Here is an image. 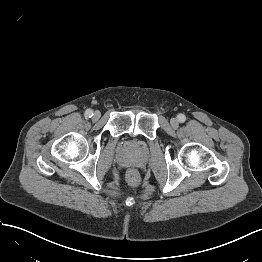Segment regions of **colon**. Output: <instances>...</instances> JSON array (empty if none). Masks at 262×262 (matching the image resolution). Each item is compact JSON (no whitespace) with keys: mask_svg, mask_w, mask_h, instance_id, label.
I'll list each match as a JSON object with an SVG mask.
<instances>
[{"mask_svg":"<svg viewBox=\"0 0 262 262\" xmlns=\"http://www.w3.org/2000/svg\"><path fill=\"white\" fill-rule=\"evenodd\" d=\"M127 181L131 186H137L140 182V177L137 171L130 170L127 174Z\"/></svg>","mask_w":262,"mask_h":262,"instance_id":"1","label":"colon"}]
</instances>
